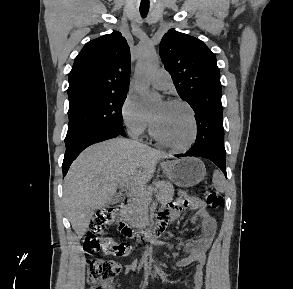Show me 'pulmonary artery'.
Here are the masks:
<instances>
[{
    "instance_id": "e3ab8cb5",
    "label": "pulmonary artery",
    "mask_w": 293,
    "mask_h": 289,
    "mask_svg": "<svg viewBox=\"0 0 293 289\" xmlns=\"http://www.w3.org/2000/svg\"><path fill=\"white\" fill-rule=\"evenodd\" d=\"M151 84L157 89L166 90L172 86V79L166 70L160 69L153 75Z\"/></svg>"
}]
</instances>
